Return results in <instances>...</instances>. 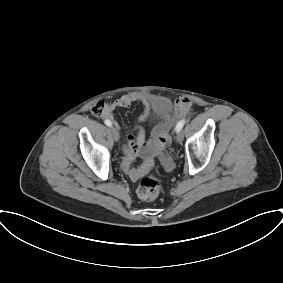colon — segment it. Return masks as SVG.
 Segmentation results:
<instances>
[{"instance_id": "1", "label": "colon", "mask_w": 283, "mask_h": 283, "mask_svg": "<svg viewBox=\"0 0 283 283\" xmlns=\"http://www.w3.org/2000/svg\"><path fill=\"white\" fill-rule=\"evenodd\" d=\"M104 111L105 106L102 102L96 103L91 109L92 114L95 116H101ZM168 140V134L164 130H161L157 135L156 141L154 143L155 150L157 152L162 151L165 145L167 144ZM160 192L161 183L159 178L154 173L143 178L137 189V194L139 198L147 202L154 201L155 199H157Z\"/></svg>"}]
</instances>
